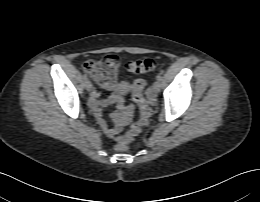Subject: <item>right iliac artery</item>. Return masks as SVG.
Returning a JSON list of instances; mask_svg holds the SVG:
<instances>
[{"label":"right iliac artery","instance_id":"1","mask_svg":"<svg viewBox=\"0 0 260 202\" xmlns=\"http://www.w3.org/2000/svg\"><path fill=\"white\" fill-rule=\"evenodd\" d=\"M83 78H84V80H87V76H86V75H84V77H83Z\"/></svg>","mask_w":260,"mask_h":202}]
</instances>
